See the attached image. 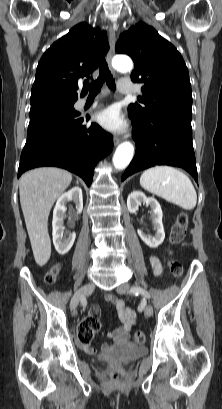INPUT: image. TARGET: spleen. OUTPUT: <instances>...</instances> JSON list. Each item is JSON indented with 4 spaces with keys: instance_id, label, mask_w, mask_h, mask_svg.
<instances>
[{
    "instance_id": "1",
    "label": "spleen",
    "mask_w": 222,
    "mask_h": 409,
    "mask_svg": "<svg viewBox=\"0 0 222 409\" xmlns=\"http://www.w3.org/2000/svg\"><path fill=\"white\" fill-rule=\"evenodd\" d=\"M140 185L148 192L185 210H192L197 203L195 188L186 174L170 166H156L145 170Z\"/></svg>"
}]
</instances>
